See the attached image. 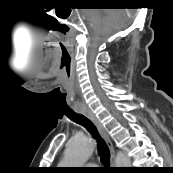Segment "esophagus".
<instances>
[{"label": "esophagus", "instance_id": "esophagus-1", "mask_svg": "<svg viewBox=\"0 0 173 173\" xmlns=\"http://www.w3.org/2000/svg\"><path fill=\"white\" fill-rule=\"evenodd\" d=\"M82 112L95 124L99 133L101 134V136L103 137V139L107 143L109 150H110V156H111L110 163L112 166H114V164H115V150H114V146H113V143L110 139L109 134L107 133V131L104 128V126L102 125V123L97 119V117L88 108H83Z\"/></svg>", "mask_w": 173, "mask_h": 173}]
</instances>
